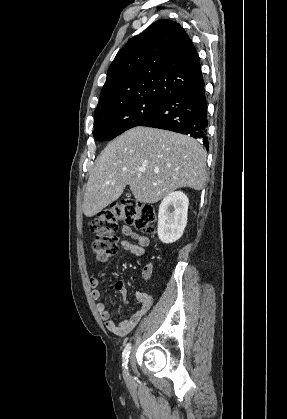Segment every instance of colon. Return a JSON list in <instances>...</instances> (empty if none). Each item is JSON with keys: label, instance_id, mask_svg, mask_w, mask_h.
<instances>
[{"label": "colon", "instance_id": "5ec220e1", "mask_svg": "<svg viewBox=\"0 0 287 419\" xmlns=\"http://www.w3.org/2000/svg\"><path fill=\"white\" fill-rule=\"evenodd\" d=\"M156 211L152 206L130 198H124L102 210L91 222L95 235L91 251L96 261L104 262L117 251L116 232L121 221L137 228L153 232Z\"/></svg>", "mask_w": 287, "mask_h": 419}]
</instances>
